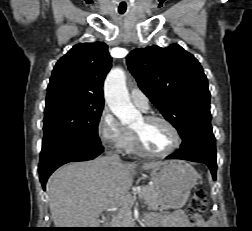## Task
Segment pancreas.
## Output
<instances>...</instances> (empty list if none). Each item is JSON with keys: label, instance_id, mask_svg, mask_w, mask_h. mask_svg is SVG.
<instances>
[{"label": "pancreas", "instance_id": "1", "mask_svg": "<svg viewBox=\"0 0 252 231\" xmlns=\"http://www.w3.org/2000/svg\"><path fill=\"white\" fill-rule=\"evenodd\" d=\"M139 197L145 201V203L151 208H158L159 201L154 186H145L142 192L139 193ZM130 205L128 202H124L122 208L114 217V224L118 227H126L130 224Z\"/></svg>", "mask_w": 252, "mask_h": 231}]
</instances>
